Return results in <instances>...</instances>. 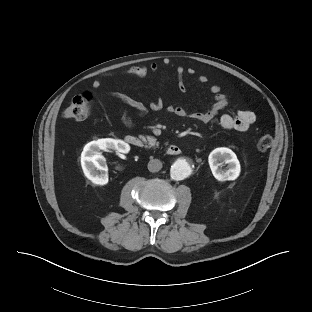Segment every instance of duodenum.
Wrapping results in <instances>:
<instances>
[{
    "label": "duodenum",
    "instance_id": "410a0bca",
    "mask_svg": "<svg viewBox=\"0 0 312 312\" xmlns=\"http://www.w3.org/2000/svg\"><path fill=\"white\" fill-rule=\"evenodd\" d=\"M125 141L134 147L144 148L147 145V142L139 136L128 135L125 138ZM167 153L170 155H179L181 153V147L179 145H170L167 149Z\"/></svg>",
    "mask_w": 312,
    "mask_h": 312
}]
</instances>
